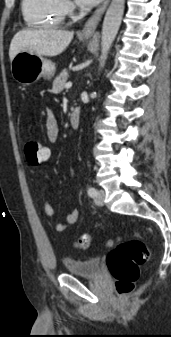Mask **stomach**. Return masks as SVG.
<instances>
[{
    "label": "stomach",
    "instance_id": "1",
    "mask_svg": "<svg viewBox=\"0 0 171 337\" xmlns=\"http://www.w3.org/2000/svg\"><path fill=\"white\" fill-rule=\"evenodd\" d=\"M90 35H85L89 38ZM56 71L55 64L44 57L28 51L19 52L11 61L13 78L23 85L36 82L41 77L51 79Z\"/></svg>",
    "mask_w": 171,
    "mask_h": 337
}]
</instances>
